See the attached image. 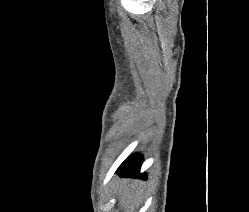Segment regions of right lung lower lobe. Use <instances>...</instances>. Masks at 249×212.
<instances>
[{"instance_id":"obj_1","label":"right lung lower lobe","mask_w":249,"mask_h":212,"mask_svg":"<svg viewBox=\"0 0 249 212\" xmlns=\"http://www.w3.org/2000/svg\"><path fill=\"white\" fill-rule=\"evenodd\" d=\"M142 164V157L140 155H133L127 158L117 169L116 174L120 177H133L139 175L140 178H146V175L140 174V167Z\"/></svg>"}]
</instances>
